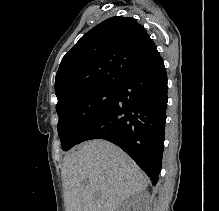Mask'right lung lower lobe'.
Instances as JSON below:
<instances>
[{"instance_id": "1", "label": "right lung lower lobe", "mask_w": 219, "mask_h": 211, "mask_svg": "<svg viewBox=\"0 0 219 211\" xmlns=\"http://www.w3.org/2000/svg\"><path fill=\"white\" fill-rule=\"evenodd\" d=\"M110 107L81 135L78 144L104 139L122 148L155 185L162 167L167 74L159 56L115 86Z\"/></svg>"}]
</instances>
